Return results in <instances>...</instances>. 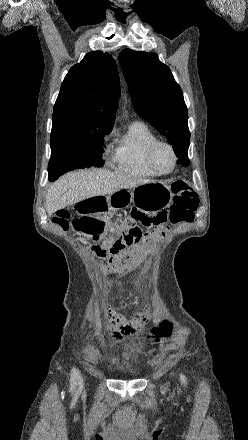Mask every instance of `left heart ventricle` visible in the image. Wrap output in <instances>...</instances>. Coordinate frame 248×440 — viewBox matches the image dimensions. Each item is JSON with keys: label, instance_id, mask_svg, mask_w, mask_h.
<instances>
[{"label": "left heart ventricle", "instance_id": "obj_1", "mask_svg": "<svg viewBox=\"0 0 248 440\" xmlns=\"http://www.w3.org/2000/svg\"><path fill=\"white\" fill-rule=\"evenodd\" d=\"M156 163L162 170H168L173 165V157L171 152L165 148L161 147L156 153Z\"/></svg>", "mask_w": 248, "mask_h": 440}]
</instances>
